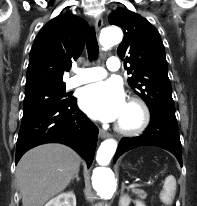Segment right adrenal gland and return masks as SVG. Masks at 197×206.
Masks as SVG:
<instances>
[{"label":"right adrenal gland","mask_w":197,"mask_h":206,"mask_svg":"<svg viewBox=\"0 0 197 206\" xmlns=\"http://www.w3.org/2000/svg\"><path fill=\"white\" fill-rule=\"evenodd\" d=\"M74 179H76L77 182L80 181V178H79V175H78V172H76L75 176L73 177L72 179V182L74 181Z\"/></svg>","instance_id":"right-adrenal-gland-1"}]
</instances>
